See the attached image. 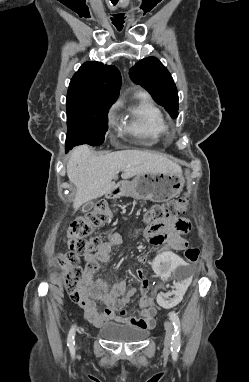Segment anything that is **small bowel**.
<instances>
[{
    "label": "small bowel",
    "instance_id": "obj_1",
    "mask_svg": "<svg viewBox=\"0 0 249 382\" xmlns=\"http://www.w3.org/2000/svg\"><path fill=\"white\" fill-rule=\"evenodd\" d=\"M190 229L191 224L187 218L168 216L144 230L137 231L133 236L143 235L154 246H158L159 250H167L168 246L173 250H182L186 245L183 235ZM122 241L119 233H111L108 240L102 242L96 251L83 256L86 263L81 289L83 298L78 304L84 309L86 318L95 326H102L109 321H118L151 329L155 324V302L148 297L147 293L141 292L139 301L141 310L127 316L125 306L137 293V288L127 289L126 282L123 280L109 284L104 279L95 278V274L101 269V264L109 261L112 249L119 246ZM145 258V252L138 254L140 263H143ZM143 283H141V289ZM98 302L104 306L103 310H100Z\"/></svg>",
    "mask_w": 249,
    "mask_h": 382
}]
</instances>
